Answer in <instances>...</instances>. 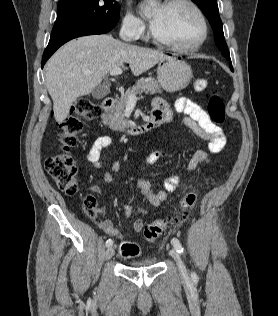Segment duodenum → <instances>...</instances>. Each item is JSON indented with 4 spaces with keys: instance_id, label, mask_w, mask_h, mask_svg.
I'll return each mask as SVG.
<instances>
[{
    "instance_id": "obj_1",
    "label": "duodenum",
    "mask_w": 278,
    "mask_h": 316,
    "mask_svg": "<svg viewBox=\"0 0 278 316\" xmlns=\"http://www.w3.org/2000/svg\"><path fill=\"white\" fill-rule=\"evenodd\" d=\"M114 104H115L114 98L112 97L105 98L100 105L102 112L103 113L108 112L114 106ZM160 123H161V116L157 113H153L151 118L146 123L129 127L128 129H126L125 132L128 134L146 133L156 128Z\"/></svg>"
}]
</instances>
